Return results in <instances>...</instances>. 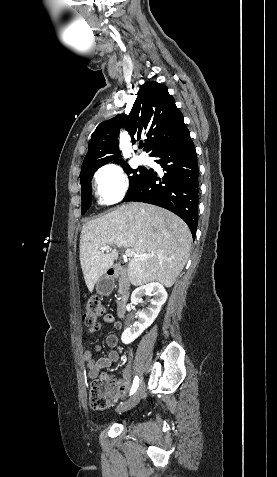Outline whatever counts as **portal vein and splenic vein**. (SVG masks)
Here are the masks:
<instances>
[{
	"label": "portal vein and splenic vein",
	"mask_w": 277,
	"mask_h": 477,
	"mask_svg": "<svg viewBox=\"0 0 277 477\" xmlns=\"http://www.w3.org/2000/svg\"><path fill=\"white\" fill-rule=\"evenodd\" d=\"M110 248V246L108 244H104L100 247V250H108ZM125 257H137L136 253L132 250V249H126L125 251V254H124Z\"/></svg>",
	"instance_id": "18ae733b"
}]
</instances>
